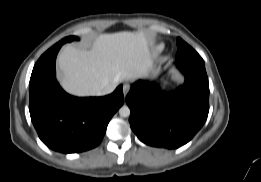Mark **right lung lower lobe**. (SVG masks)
Wrapping results in <instances>:
<instances>
[{
  "instance_id": "obj_1",
  "label": "right lung lower lobe",
  "mask_w": 261,
  "mask_h": 182,
  "mask_svg": "<svg viewBox=\"0 0 261 182\" xmlns=\"http://www.w3.org/2000/svg\"><path fill=\"white\" fill-rule=\"evenodd\" d=\"M63 44L48 49L35 64L29 84V111L42 142L74 153L100 144L114 113L123 105L122 85L104 97L78 98L64 92L55 78L56 56Z\"/></svg>"
}]
</instances>
